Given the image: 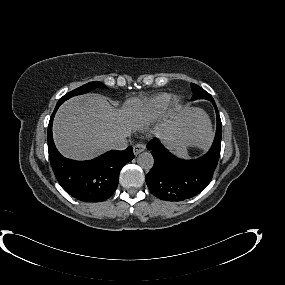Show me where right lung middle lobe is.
I'll list each match as a JSON object with an SVG mask.
<instances>
[{
  "instance_id": "right-lung-middle-lobe-1",
  "label": "right lung middle lobe",
  "mask_w": 285,
  "mask_h": 285,
  "mask_svg": "<svg viewBox=\"0 0 285 285\" xmlns=\"http://www.w3.org/2000/svg\"><path fill=\"white\" fill-rule=\"evenodd\" d=\"M103 84L100 82H90L87 83L67 94H65L62 98H60V100L58 101L57 104H62L64 101H66L67 99L76 96V95H80V94H85L86 92H89L97 87H102Z\"/></svg>"
}]
</instances>
